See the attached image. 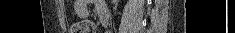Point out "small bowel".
Wrapping results in <instances>:
<instances>
[{
  "label": "small bowel",
  "instance_id": "small-bowel-1",
  "mask_svg": "<svg viewBox=\"0 0 235 33\" xmlns=\"http://www.w3.org/2000/svg\"><path fill=\"white\" fill-rule=\"evenodd\" d=\"M89 1L78 0L75 2V9L78 14H83L87 11ZM95 10L98 16L101 18L103 15H108L107 7L105 3L101 0L94 2Z\"/></svg>",
  "mask_w": 235,
  "mask_h": 33
}]
</instances>
